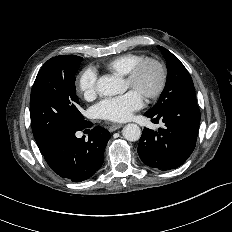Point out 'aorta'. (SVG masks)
Returning a JSON list of instances; mask_svg holds the SVG:
<instances>
[{"mask_svg":"<svg viewBox=\"0 0 232 232\" xmlns=\"http://www.w3.org/2000/svg\"><path fill=\"white\" fill-rule=\"evenodd\" d=\"M125 83L115 76H102L97 81V90L105 96H113L125 91ZM124 138L128 141H137L141 136V129L137 124H127L122 130Z\"/></svg>","mask_w":232,"mask_h":232,"instance_id":"aorta-1","label":"aorta"}]
</instances>
